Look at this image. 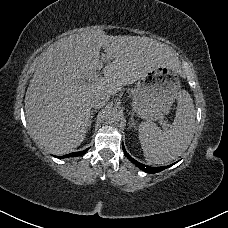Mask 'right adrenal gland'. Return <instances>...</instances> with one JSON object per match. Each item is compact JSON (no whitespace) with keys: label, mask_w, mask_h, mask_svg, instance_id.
<instances>
[{"label":"right adrenal gland","mask_w":228,"mask_h":228,"mask_svg":"<svg viewBox=\"0 0 228 228\" xmlns=\"http://www.w3.org/2000/svg\"><path fill=\"white\" fill-rule=\"evenodd\" d=\"M93 114H94V111H92V113H91V122H90V124H89V127H91L92 126V124H93Z\"/></svg>","instance_id":"right-adrenal-gland-1"}]
</instances>
